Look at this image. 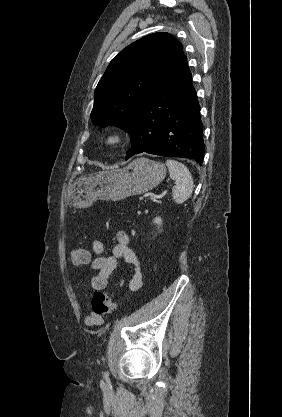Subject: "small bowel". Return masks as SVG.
<instances>
[{"label": "small bowel", "instance_id": "small-bowel-1", "mask_svg": "<svg viewBox=\"0 0 282 417\" xmlns=\"http://www.w3.org/2000/svg\"><path fill=\"white\" fill-rule=\"evenodd\" d=\"M117 244L113 247L111 253L104 254V244L100 240L92 241V249L96 257L90 259L88 254V262L90 268L96 273L91 278V287L95 291H102L107 287L108 279L116 269L118 260L124 259L126 263L133 267V274L129 281V290L135 292L143 285V271L141 262L133 249L129 246V235L124 230H117L115 233ZM87 326H101L104 319L100 315L88 313L84 317Z\"/></svg>", "mask_w": 282, "mask_h": 417}]
</instances>
